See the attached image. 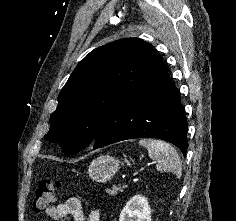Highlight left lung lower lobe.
I'll list each match as a JSON object with an SVG mask.
<instances>
[{
	"mask_svg": "<svg viewBox=\"0 0 236 221\" xmlns=\"http://www.w3.org/2000/svg\"><path fill=\"white\" fill-rule=\"evenodd\" d=\"M187 122L180 92L162 58L147 77L113 110L94 140L93 150L127 139L168 141L185 155Z\"/></svg>",
	"mask_w": 236,
	"mask_h": 221,
	"instance_id": "left-lung-lower-lobe-1",
	"label": "left lung lower lobe"
}]
</instances>
